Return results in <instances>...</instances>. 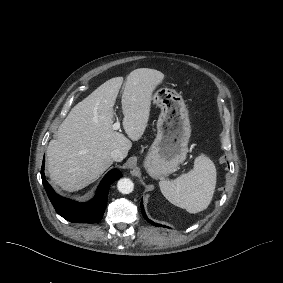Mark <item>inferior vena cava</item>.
I'll return each instance as SVG.
<instances>
[{"mask_svg":"<svg viewBox=\"0 0 283 283\" xmlns=\"http://www.w3.org/2000/svg\"><path fill=\"white\" fill-rule=\"evenodd\" d=\"M111 156L113 161L115 162H121L125 158L124 155L121 153V151L118 149L113 150L111 152Z\"/></svg>","mask_w":283,"mask_h":283,"instance_id":"obj_1","label":"inferior vena cava"}]
</instances>
